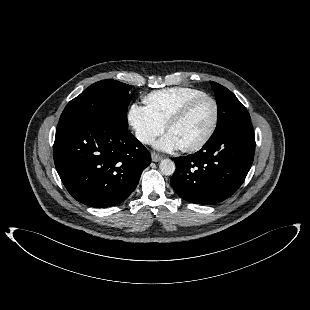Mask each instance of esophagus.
<instances>
[{
  "label": "esophagus",
  "instance_id": "1",
  "mask_svg": "<svg viewBox=\"0 0 310 310\" xmlns=\"http://www.w3.org/2000/svg\"><path fill=\"white\" fill-rule=\"evenodd\" d=\"M151 158L153 162H159L162 159V156L156 154L155 152H152Z\"/></svg>",
  "mask_w": 310,
  "mask_h": 310
}]
</instances>
